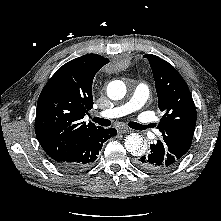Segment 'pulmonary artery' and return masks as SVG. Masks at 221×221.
Here are the masks:
<instances>
[{
    "label": "pulmonary artery",
    "instance_id": "obj_1",
    "mask_svg": "<svg viewBox=\"0 0 221 221\" xmlns=\"http://www.w3.org/2000/svg\"><path fill=\"white\" fill-rule=\"evenodd\" d=\"M149 97V88L146 84L140 83L135 88L131 98L124 104L101 112L104 118H117L138 111L146 103Z\"/></svg>",
    "mask_w": 221,
    "mask_h": 221
}]
</instances>
